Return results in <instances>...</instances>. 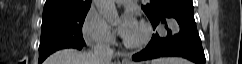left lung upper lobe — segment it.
Listing matches in <instances>:
<instances>
[{"instance_id":"obj_1","label":"left lung upper lobe","mask_w":242,"mask_h":64,"mask_svg":"<svg viewBox=\"0 0 242 64\" xmlns=\"http://www.w3.org/2000/svg\"><path fill=\"white\" fill-rule=\"evenodd\" d=\"M146 5H142L141 8L152 22L158 18V16L166 9L183 3L188 0H147Z\"/></svg>"}]
</instances>
